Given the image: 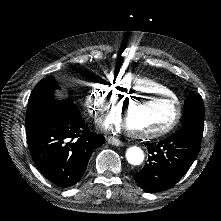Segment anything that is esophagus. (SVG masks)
Returning <instances> with one entry per match:
<instances>
[{
  "mask_svg": "<svg viewBox=\"0 0 221 221\" xmlns=\"http://www.w3.org/2000/svg\"><path fill=\"white\" fill-rule=\"evenodd\" d=\"M107 142L115 146H121V147L124 146V142L111 136L107 138Z\"/></svg>",
  "mask_w": 221,
  "mask_h": 221,
  "instance_id": "34e87169",
  "label": "esophagus"
}]
</instances>
